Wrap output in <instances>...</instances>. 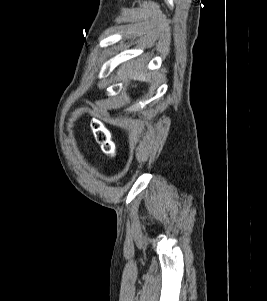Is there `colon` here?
I'll return each mask as SVG.
<instances>
[{"label": "colon", "instance_id": "colon-1", "mask_svg": "<svg viewBox=\"0 0 267 301\" xmlns=\"http://www.w3.org/2000/svg\"><path fill=\"white\" fill-rule=\"evenodd\" d=\"M92 130L96 142L100 145L104 153L108 155H114L116 146L112 139L111 132L100 121H94L92 123Z\"/></svg>", "mask_w": 267, "mask_h": 301}]
</instances>
